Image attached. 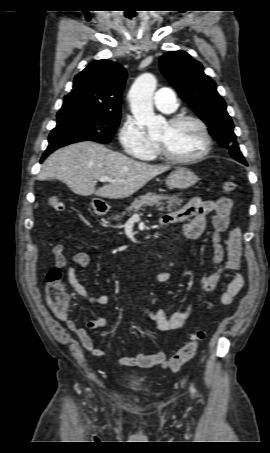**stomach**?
<instances>
[{
	"label": "stomach",
	"mask_w": 270,
	"mask_h": 453,
	"mask_svg": "<svg viewBox=\"0 0 270 453\" xmlns=\"http://www.w3.org/2000/svg\"><path fill=\"white\" fill-rule=\"evenodd\" d=\"M198 181L197 175L188 168H176L166 179V185L171 189L184 190L192 187ZM94 212L98 215L103 214V210L92 203Z\"/></svg>",
	"instance_id": "obj_1"
}]
</instances>
